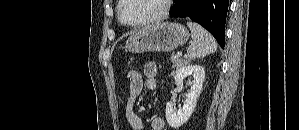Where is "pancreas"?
<instances>
[{"mask_svg": "<svg viewBox=\"0 0 299 130\" xmlns=\"http://www.w3.org/2000/svg\"><path fill=\"white\" fill-rule=\"evenodd\" d=\"M170 60L172 62V69H178L181 65L185 63V60L181 59L179 56L172 54L170 57Z\"/></svg>", "mask_w": 299, "mask_h": 130, "instance_id": "obj_1", "label": "pancreas"}]
</instances>
